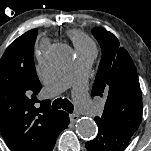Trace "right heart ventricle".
<instances>
[{"instance_id":"e07e8e85","label":"right heart ventricle","mask_w":151,"mask_h":151,"mask_svg":"<svg viewBox=\"0 0 151 151\" xmlns=\"http://www.w3.org/2000/svg\"><path fill=\"white\" fill-rule=\"evenodd\" d=\"M69 37L73 41L76 50L94 48V43L92 40L79 30L69 31Z\"/></svg>"}]
</instances>
